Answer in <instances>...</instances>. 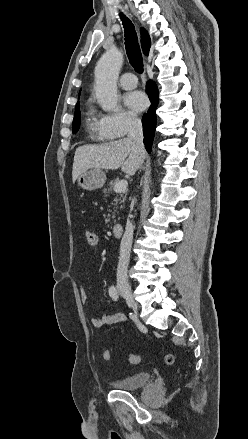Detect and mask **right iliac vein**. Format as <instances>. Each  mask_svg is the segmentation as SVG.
Here are the masks:
<instances>
[{
    "label": "right iliac vein",
    "mask_w": 248,
    "mask_h": 439,
    "mask_svg": "<svg viewBox=\"0 0 248 439\" xmlns=\"http://www.w3.org/2000/svg\"><path fill=\"white\" fill-rule=\"evenodd\" d=\"M121 295L122 297L126 300V302L128 303V305L133 309V311L137 314L138 312V305L135 302L133 295L130 291L129 288L127 287H122L120 289Z\"/></svg>",
    "instance_id": "obj_1"
}]
</instances>
